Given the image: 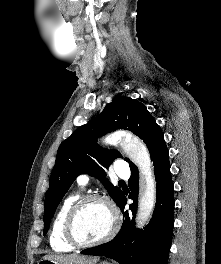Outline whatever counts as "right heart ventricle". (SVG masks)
Here are the masks:
<instances>
[{
  "label": "right heart ventricle",
  "instance_id": "1",
  "mask_svg": "<svg viewBox=\"0 0 221 264\" xmlns=\"http://www.w3.org/2000/svg\"><path fill=\"white\" fill-rule=\"evenodd\" d=\"M79 198V192H75L66 197L53 220L49 241L52 249L57 252H69L74 249V247L67 242L64 236L63 228L65 217L69 208Z\"/></svg>",
  "mask_w": 221,
  "mask_h": 264
}]
</instances>
